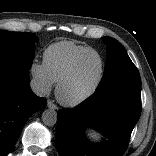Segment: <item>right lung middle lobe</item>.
I'll list each match as a JSON object with an SVG mask.
<instances>
[{
    "instance_id": "right-lung-middle-lobe-1",
    "label": "right lung middle lobe",
    "mask_w": 156,
    "mask_h": 156,
    "mask_svg": "<svg viewBox=\"0 0 156 156\" xmlns=\"http://www.w3.org/2000/svg\"><path fill=\"white\" fill-rule=\"evenodd\" d=\"M36 41L38 38L32 33L0 31V66L28 71Z\"/></svg>"
}]
</instances>
